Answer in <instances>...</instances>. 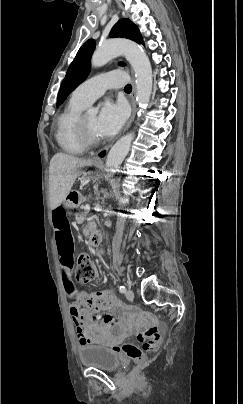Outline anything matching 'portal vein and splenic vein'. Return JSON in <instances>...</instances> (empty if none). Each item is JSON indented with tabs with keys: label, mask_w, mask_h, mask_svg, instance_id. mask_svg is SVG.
I'll return each mask as SVG.
<instances>
[{
	"label": "portal vein and splenic vein",
	"mask_w": 243,
	"mask_h": 404,
	"mask_svg": "<svg viewBox=\"0 0 243 404\" xmlns=\"http://www.w3.org/2000/svg\"><path fill=\"white\" fill-rule=\"evenodd\" d=\"M89 210H90V206H89V204H86V206H84V213L88 214Z\"/></svg>",
	"instance_id": "1"
}]
</instances>
